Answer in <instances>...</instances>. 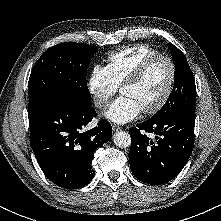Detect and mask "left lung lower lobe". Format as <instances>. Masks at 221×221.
I'll return each mask as SVG.
<instances>
[{
    "label": "left lung lower lobe",
    "instance_id": "obj_1",
    "mask_svg": "<svg viewBox=\"0 0 221 221\" xmlns=\"http://www.w3.org/2000/svg\"><path fill=\"white\" fill-rule=\"evenodd\" d=\"M194 124L195 113L182 111L131 127L129 162L132 173L141 181L154 185L174 179L192 153ZM144 132L156 134V141Z\"/></svg>",
    "mask_w": 221,
    "mask_h": 221
}]
</instances>
